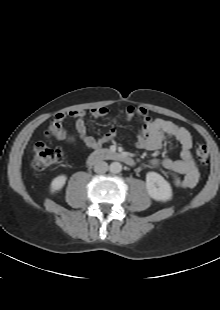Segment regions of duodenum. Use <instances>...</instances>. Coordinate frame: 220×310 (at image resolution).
<instances>
[{"mask_svg": "<svg viewBox=\"0 0 220 310\" xmlns=\"http://www.w3.org/2000/svg\"><path fill=\"white\" fill-rule=\"evenodd\" d=\"M101 160H112L122 162L126 165L132 166L134 160L132 157L118 151L110 149H100L91 153L87 159L88 164H95Z\"/></svg>", "mask_w": 220, "mask_h": 310, "instance_id": "duodenum-1", "label": "duodenum"}]
</instances>
